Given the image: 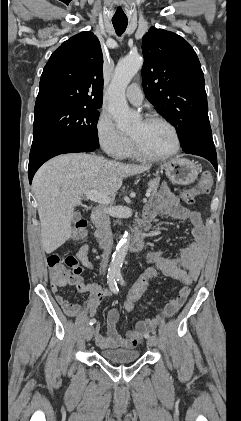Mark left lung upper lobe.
I'll list each match as a JSON object with an SVG mask.
<instances>
[{
  "label": "left lung upper lobe",
  "instance_id": "5c2ea615",
  "mask_svg": "<svg viewBox=\"0 0 241 421\" xmlns=\"http://www.w3.org/2000/svg\"><path fill=\"white\" fill-rule=\"evenodd\" d=\"M142 52L146 98L176 128L183 150L212 138L204 75L192 46L173 32L151 27Z\"/></svg>",
  "mask_w": 241,
  "mask_h": 421
}]
</instances>
